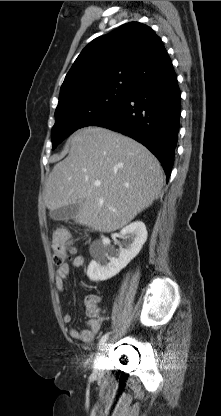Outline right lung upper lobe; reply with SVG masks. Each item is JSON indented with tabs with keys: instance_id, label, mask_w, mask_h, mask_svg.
Masks as SVG:
<instances>
[{
	"instance_id": "right-lung-upper-lobe-1",
	"label": "right lung upper lobe",
	"mask_w": 221,
	"mask_h": 416,
	"mask_svg": "<svg viewBox=\"0 0 221 416\" xmlns=\"http://www.w3.org/2000/svg\"><path fill=\"white\" fill-rule=\"evenodd\" d=\"M170 71L160 37L142 23H127L82 50L61 86L58 105L102 90H133L165 79Z\"/></svg>"
}]
</instances>
